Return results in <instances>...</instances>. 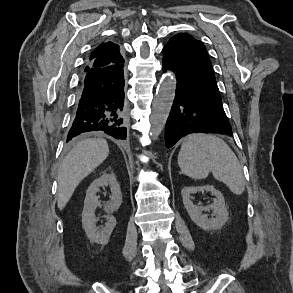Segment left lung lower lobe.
I'll use <instances>...</instances> for the list:
<instances>
[{
    "label": "left lung lower lobe",
    "instance_id": "obj_1",
    "mask_svg": "<svg viewBox=\"0 0 293 293\" xmlns=\"http://www.w3.org/2000/svg\"><path fill=\"white\" fill-rule=\"evenodd\" d=\"M163 71L176 77L175 99L166 122L165 141L169 149L191 133H221L232 136V128L222 106L220 94L191 78L174 49L163 48Z\"/></svg>",
    "mask_w": 293,
    "mask_h": 293
}]
</instances>
